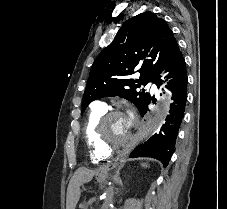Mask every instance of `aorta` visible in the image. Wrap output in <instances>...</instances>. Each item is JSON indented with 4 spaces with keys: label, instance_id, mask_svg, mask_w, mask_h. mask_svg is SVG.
Listing matches in <instances>:
<instances>
[{
    "label": "aorta",
    "instance_id": "obj_1",
    "mask_svg": "<svg viewBox=\"0 0 227 209\" xmlns=\"http://www.w3.org/2000/svg\"><path fill=\"white\" fill-rule=\"evenodd\" d=\"M171 104V94L166 91L163 95L160 104L155 112V114L150 118L146 126L141 131V138L147 139L152 134H154L164 123L166 116L168 115L169 108ZM113 196H114V184L110 185L103 196L104 202L102 209H111L113 205Z\"/></svg>",
    "mask_w": 227,
    "mask_h": 209
}]
</instances>
